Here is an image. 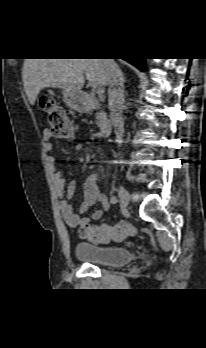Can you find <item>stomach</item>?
<instances>
[{
    "mask_svg": "<svg viewBox=\"0 0 206 348\" xmlns=\"http://www.w3.org/2000/svg\"><path fill=\"white\" fill-rule=\"evenodd\" d=\"M63 100L73 110L83 112L86 107V99L81 91H72L69 89H63Z\"/></svg>",
    "mask_w": 206,
    "mask_h": 348,
    "instance_id": "0dacf381",
    "label": "stomach"
}]
</instances>
